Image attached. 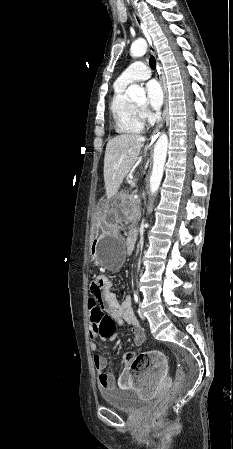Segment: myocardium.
Returning <instances> with one entry per match:
<instances>
[{"label": "myocardium", "mask_w": 233, "mask_h": 449, "mask_svg": "<svg viewBox=\"0 0 233 449\" xmlns=\"http://www.w3.org/2000/svg\"><path fill=\"white\" fill-rule=\"evenodd\" d=\"M135 106L137 109H139V110L141 109V106H139V105H135Z\"/></svg>", "instance_id": "obj_1"}]
</instances>
